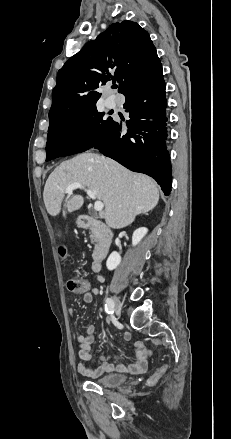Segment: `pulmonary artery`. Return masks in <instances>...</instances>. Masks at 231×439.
I'll list each match as a JSON object with an SVG mask.
<instances>
[{"mask_svg":"<svg viewBox=\"0 0 231 439\" xmlns=\"http://www.w3.org/2000/svg\"><path fill=\"white\" fill-rule=\"evenodd\" d=\"M105 105H106L107 108L112 109V108H114L116 106V103H115V101L113 99H107L105 101Z\"/></svg>","mask_w":231,"mask_h":439,"instance_id":"obj_1","label":"pulmonary artery"}]
</instances>
